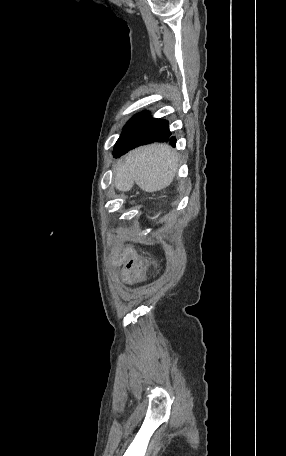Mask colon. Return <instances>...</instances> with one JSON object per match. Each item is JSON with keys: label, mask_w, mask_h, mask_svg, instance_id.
<instances>
[{"label": "colon", "mask_w": 286, "mask_h": 456, "mask_svg": "<svg viewBox=\"0 0 286 456\" xmlns=\"http://www.w3.org/2000/svg\"><path fill=\"white\" fill-rule=\"evenodd\" d=\"M148 266V261L144 258L138 257L135 263L134 267V275L137 278V280L142 279L143 277V272Z\"/></svg>", "instance_id": "1"}]
</instances>
